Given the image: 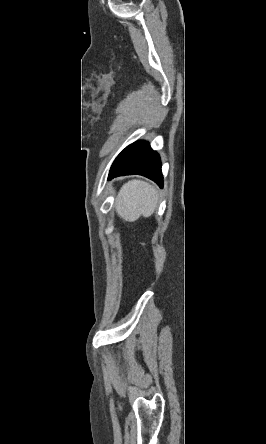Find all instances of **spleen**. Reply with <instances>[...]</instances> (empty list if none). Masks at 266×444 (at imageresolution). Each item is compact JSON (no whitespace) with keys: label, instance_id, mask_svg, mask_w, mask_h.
<instances>
[{"label":"spleen","instance_id":"obj_1","mask_svg":"<svg viewBox=\"0 0 266 444\" xmlns=\"http://www.w3.org/2000/svg\"><path fill=\"white\" fill-rule=\"evenodd\" d=\"M118 215L125 221L133 222L140 216L149 217L158 206L156 188L141 180L125 183L115 201Z\"/></svg>","mask_w":266,"mask_h":444}]
</instances>
